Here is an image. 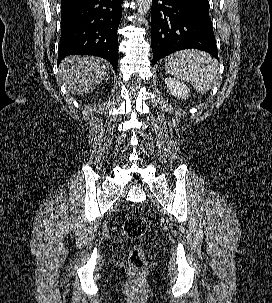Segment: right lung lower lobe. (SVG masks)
<instances>
[{"mask_svg": "<svg viewBox=\"0 0 272 303\" xmlns=\"http://www.w3.org/2000/svg\"><path fill=\"white\" fill-rule=\"evenodd\" d=\"M123 0H81L61 7V38L57 64L67 55L88 54L107 59L117 73V29Z\"/></svg>", "mask_w": 272, "mask_h": 303, "instance_id": "98d812e1", "label": "right lung lower lobe"}]
</instances>
